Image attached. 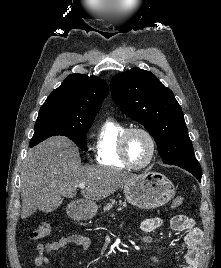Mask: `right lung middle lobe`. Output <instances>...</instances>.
Instances as JSON below:
<instances>
[{"instance_id":"right-lung-middle-lobe-1","label":"right lung middle lobe","mask_w":221,"mask_h":268,"mask_svg":"<svg viewBox=\"0 0 221 268\" xmlns=\"http://www.w3.org/2000/svg\"><path fill=\"white\" fill-rule=\"evenodd\" d=\"M93 120L64 112H39L30 147L51 136L62 135L71 139L82 150L87 151L86 133Z\"/></svg>"}]
</instances>
